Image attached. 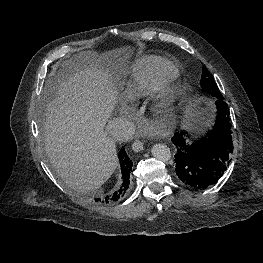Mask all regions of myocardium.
Here are the masks:
<instances>
[{"label": "myocardium", "mask_w": 263, "mask_h": 263, "mask_svg": "<svg viewBox=\"0 0 263 263\" xmlns=\"http://www.w3.org/2000/svg\"><path fill=\"white\" fill-rule=\"evenodd\" d=\"M159 93L165 109L170 110L176 100L175 89L168 82H164L159 86Z\"/></svg>", "instance_id": "f54148a6"}]
</instances>
